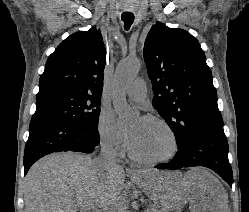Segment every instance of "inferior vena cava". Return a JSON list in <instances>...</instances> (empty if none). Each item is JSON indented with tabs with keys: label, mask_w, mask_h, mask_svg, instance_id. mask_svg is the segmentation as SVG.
Listing matches in <instances>:
<instances>
[{
	"label": "inferior vena cava",
	"mask_w": 249,
	"mask_h": 212,
	"mask_svg": "<svg viewBox=\"0 0 249 212\" xmlns=\"http://www.w3.org/2000/svg\"><path fill=\"white\" fill-rule=\"evenodd\" d=\"M99 166H117L116 164V150L113 144H101L99 158H96Z\"/></svg>",
	"instance_id": "obj_1"
}]
</instances>
